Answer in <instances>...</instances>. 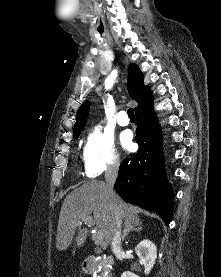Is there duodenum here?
<instances>
[{
    "instance_id": "1",
    "label": "duodenum",
    "mask_w": 221,
    "mask_h": 277,
    "mask_svg": "<svg viewBox=\"0 0 221 277\" xmlns=\"http://www.w3.org/2000/svg\"><path fill=\"white\" fill-rule=\"evenodd\" d=\"M113 259L104 257L102 255H90L83 261V269L85 272L90 273L99 265H112Z\"/></svg>"
}]
</instances>
